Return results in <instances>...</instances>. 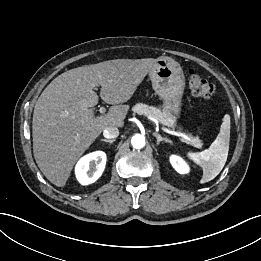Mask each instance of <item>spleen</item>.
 Wrapping results in <instances>:
<instances>
[{"mask_svg": "<svg viewBox=\"0 0 261 261\" xmlns=\"http://www.w3.org/2000/svg\"><path fill=\"white\" fill-rule=\"evenodd\" d=\"M230 117L226 116L220 132L211 146L202 152H188L187 156L203 169L200 183L213 180L223 169L229 151Z\"/></svg>", "mask_w": 261, "mask_h": 261, "instance_id": "spleen-1", "label": "spleen"}]
</instances>
